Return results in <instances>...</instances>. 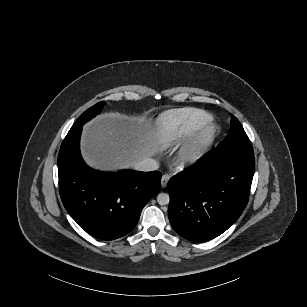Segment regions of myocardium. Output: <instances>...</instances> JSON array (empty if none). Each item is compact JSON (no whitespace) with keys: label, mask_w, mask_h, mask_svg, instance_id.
<instances>
[{"label":"myocardium","mask_w":307,"mask_h":307,"mask_svg":"<svg viewBox=\"0 0 307 307\" xmlns=\"http://www.w3.org/2000/svg\"><path fill=\"white\" fill-rule=\"evenodd\" d=\"M219 130L216 124L205 128L194 140L178 151L177 158L182 161L183 168L197 165L205 158Z\"/></svg>","instance_id":"myocardium-1"}]
</instances>
